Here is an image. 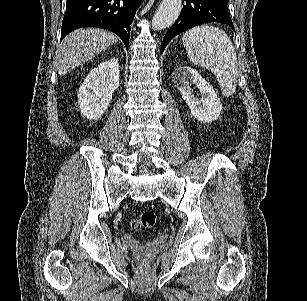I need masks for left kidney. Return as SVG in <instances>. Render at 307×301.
Segmentation results:
<instances>
[{
	"mask_svg": "<svg viewBox=\"0 0 307 301\" xmlns=\"http://www.w3.org/2000/svg\"><path fill=\"white\" fill-rule=\"evenodd\" d=\"M173 82H175L182 98L187 102L192 116L202 120V122H213L217 120L222 104L211 84L191 66H179L173 72ZM192 84L198 86L201 98L194 96L191 88Z\"/></svg>",
	"mask_w": 307,
	"mask_h": 301,
	"instance_id": "1",
	"label": "left kidney"
}]
</instances>
